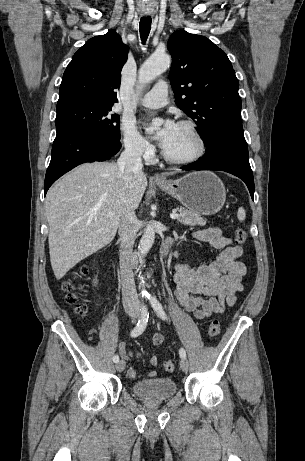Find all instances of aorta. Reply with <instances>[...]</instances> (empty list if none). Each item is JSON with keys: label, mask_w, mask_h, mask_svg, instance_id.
Returning a JSON list of instances; mask_svg holds the SVG:
<instances>
[{"label": "aorta", "mask_w": 305, "mask_h": 461, "mask_svg": "<svg viewBox=\"0 0 305 461\" xmlns=\"http://www.w3.org/2000/svg\"><path fill=\"white\" fill-rule=\"evenodd\" d=\"M171 59L167 54L152 55L139 69V82L145 84L151 82L170 65ZM162 120L156 119L153 126L158 127ZM155 240V230L152 225H148L139 242L138 251L140 258H144L151 249ZM145 293V291H144Z\"/></svg>", "instance_id": "1"}]
</instances>
